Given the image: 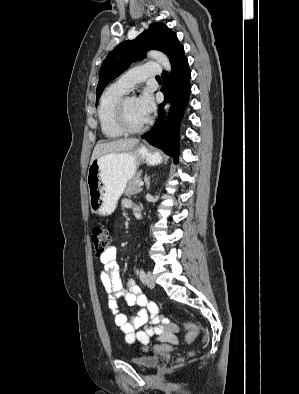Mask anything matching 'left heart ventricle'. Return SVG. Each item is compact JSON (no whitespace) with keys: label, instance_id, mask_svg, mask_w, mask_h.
Returning <instances> with one entry per match:
<instances>
[{"label":"left heart ventricle","instance_id":"left-heart-ventricle-1","mask_svg":"<svg viewBox=\"0 0 299 394\" xmlns=\"http://www.w3.org/2000/svg\"><path fill=\"white\" fill-rule=\"evenodd\" d=\"M125 117L127 123L132 127L139 126L146 121V118L141 114L137 107L135 98L127 100L125 104Z\"/></svg>","mask_w":299,"mask_h":394}]
</instances>
